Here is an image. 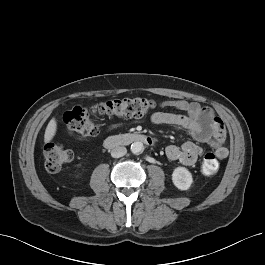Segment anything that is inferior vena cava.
Here are the masks:
<instances>
[{
  "label": "inferior vena cava",
  "mask_w": 265,
  "mask_h": 265,
  "mask_svg": "<svg viewBox=\"0 0 265 265\" xmlns=\"http://www.w3.org/2000/svg\"><path fill=\"white\" fill-rule=\"evenodd\" d=\"M127 153V149L123 146H118L115 147L114 149H112L111 151V156L113 158H120L122 156H124Z\"/></svg>",
  "instance_id": "inferior-vena-cava-1"
}]
</instances>
